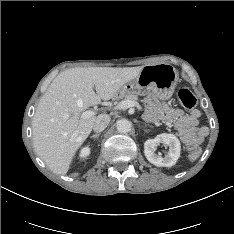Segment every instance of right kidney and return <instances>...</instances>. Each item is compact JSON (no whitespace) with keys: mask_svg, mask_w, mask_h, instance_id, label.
<instances>
[{"mask_svg":"<svg viewBox=\"0 0 234 234\" xmlns=\"http://www.w3.org/2000/svg\"><path fill=\"white\" fill-rule=\"evenodd\" d=\"M90 155V147L86 146L80 150L79 157L80 159H86Z\"/></svg>","mask_w":234,"mask_h":234,"instance_id":"ca27d5eb","label":"right kidney"}]
</instances>
